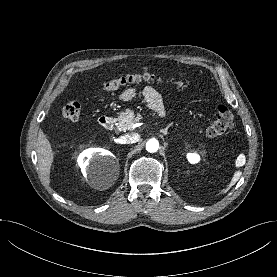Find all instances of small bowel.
Here are the masks:
<instances>
[{"label":"small bowel","instance_id":"obj_1","mask_svg":"<svg viewBox=\"0 0 277 277\" xmlns=\"http://www.w3.org/2000/svg\"><path fill=\"white\" fill-rule=\"evenodd\" d=\"M136 93V88H128L119 95V99L125 101L129 100L133 98L136 95ZM141 94L143 95L151 110H153L160 116H163L165 114V108L161 96L153 87L145 86L141 89Z\"/></svg>","mask_w":277,"mask_h":277}]
</instances>
